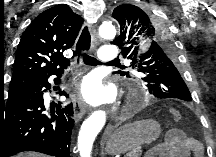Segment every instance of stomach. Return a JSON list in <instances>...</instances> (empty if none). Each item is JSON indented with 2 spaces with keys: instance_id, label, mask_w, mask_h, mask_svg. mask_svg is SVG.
I'll use <instances>...</instances> for the list:
<instances>
[{
  "instance_id": "stomach-1",
  "label": "stomach",
  "mask_w": 216,
  "mask_h": 157,
  "mask_svg": "<svg viewBox=\"0 0 216 157\" xmlns=\"http://www.w3.org/2000/svg\"><path fill=\"white\" fill-rule=\"evenodd\" d=\"M160 133V124L154 120L127 124L115 130L107 138L105 149L110 155L124 154L142 144L156 140Z\"/></svg>"
}]
</instances>
